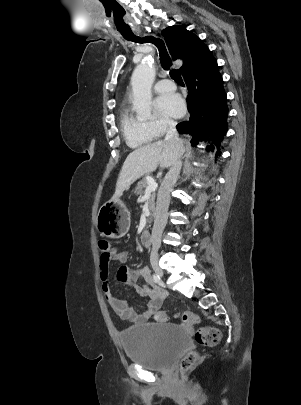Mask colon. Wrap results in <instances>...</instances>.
I'll use <instances>...</instances> for the list:
<instances>
[{"instance_id":"5ec220e1","label":"colon","mask_w":301,"mask_h":405,"mask_svg":"<svg viewBox=\"0 0 301 405\" xmlns=\"http://www.w3.org/2000/svg\"><path fill=\"white\" fill-rule=\"evenodd\" d=\"M99 249L103 256L107 257L110 252V244L107 240H100ZM175 318L180 319L184 324L193 326L199 323V317L191 312L182 311L174 314ZM155 319L160 322H165L169 319L168 313L160 310L155 313ZM195 340L198 344L203 346H215L220 340V332L215 328L201 327L195 333ZM197 361V353L191 351L187 353L180 362V370L185 376L195 365Z\"/></svg>"}]
</instances>
